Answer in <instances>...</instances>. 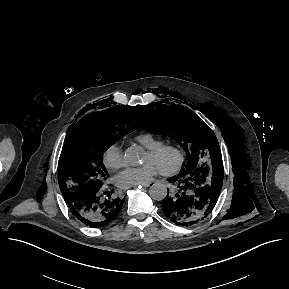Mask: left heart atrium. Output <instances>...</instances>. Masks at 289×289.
<instances>
[{
    "label": "left heart atrium",
    "instance_id": "left-heart-atrium-1",
    "mask_svg": "<svg viewBox=\"0 0 289 289\" xmlns=\"http://www.w3.org/2000/svg\"><path fill=\"white\" fill-rule=\"evenodd\" d=\"M158 168L149 163L141 167H127L115 178L116 184L121 188H130L146 185L158 173Z\"/></svg>",
    "mask_w": 289,
    "mask_h": 289
}]
</instances>
